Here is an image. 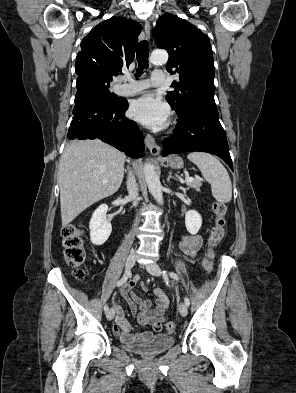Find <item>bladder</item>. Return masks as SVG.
<instances>
[{
  "label": "bladder",
  "mask_w": 296,
  "mask_h": 393,
  "mask_svg": "<svg viewBox=\"0 0 296 393\" xmlns=\"http://www.w3.org/2000/svg\"><path fill=\"white\" fill-rule=\"evenodd\" d=\"M175 338L169 334H157L139 344H124V348L142 356H154L165 352L174 345Z\"/></svg>",
  "instance_id": "obj_1"
}]
</instances>
